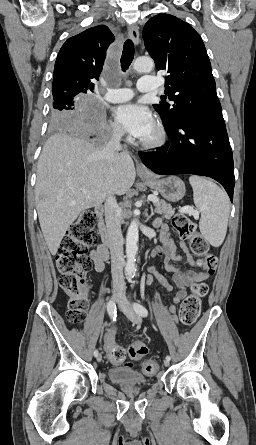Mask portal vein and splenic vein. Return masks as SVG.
<instances>
[{
  "mask_svg": "<svg viewBox=\"0 0 256 445\" xmlns=\"http://www.w3.org/2000/svg\"><path fill=\"white\" fill-rule=\"evenodd\" d=\"M82 193H87V190H82ZM149 200H151V201H153V202H158V199H157V197H155V196H150L149 197ZM181 212H183V213H187V214H189V215H193V216H197L198 215V212L197 211H195L192 207H190V206H186V207H184V208H182L181 209Z\"/></svg>",
  "mask_w": 256,
  "mask_h": 445,
  "instance_id": "portal-vein-and-splenic-vein-1",
  "label": "portal vein and splenic vein"
}]
</instances>
